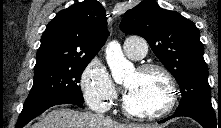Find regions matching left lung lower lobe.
<instances>
[{"instance_id":"left-lung-lower-lobe-1","label":"left lung lower lobe","mask_w":221,"mask_h":128,"mask_svg":"<svg viewBox=\"0 0 221 128\" xmlns=\"http://www.w3.org/2000/svg\"><path fill=\"white\" fill-rule=\"evenodd\" d=\"M179 116L190 117L196 120L198 123H200L203 126V128H221L220 116H218L217 118L214 109L203 107H193L178 113H174L173 116L163 119L159 121V123H164L165 121L171 118Z\"/></svg>"}]
</instances>
